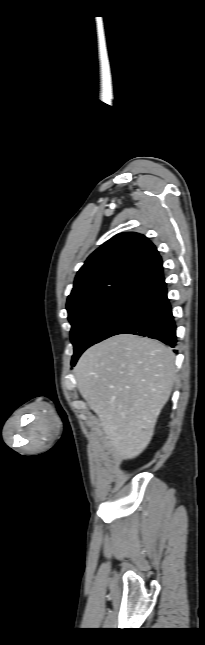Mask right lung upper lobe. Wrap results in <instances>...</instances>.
Returning a JSON list of instances; mask_svg holds the SVG:
<instances>
[{
  "mask_svg": "<svg viewBox=\"0 0 205 645\" xmlns=\"http://www.w3.org/2000/svg\"><path fill=\"white\" fill-rule=\"evenodd\" d=\"M163 278L162 259L152 242L124 232L88 257L76 275L67 306L123 286L149 289Z\"/></svg>",
  "mask_w": 205,
  "mask_h": 645,
  "instance_id": "obj_1",
  "label": "right lung upper lobe"
}]
</instances>
